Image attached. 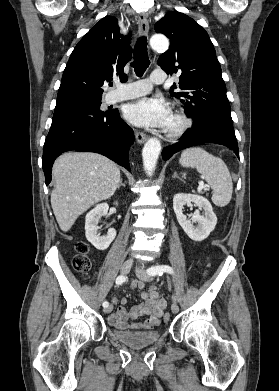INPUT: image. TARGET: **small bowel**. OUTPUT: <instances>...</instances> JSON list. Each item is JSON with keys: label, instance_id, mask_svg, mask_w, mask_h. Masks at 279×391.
<instances>
[{"label": "small bowel", "instance_id": "small-bowel-1", "mask_svg": "<svg viewBox=\"0 0 279 391\" xmlns=\"http://www.w3.org/2000/svg\"><path fill=\"white\" fill-rule=\"evenodd\" d=\"M132 286L142 290L141 297L144 303L126 308V299L122 298L120 301L113 297L114 304L119 303L116 312L108 317L109 323L117 329H152L161 324V319L164 310L167 307V301L160 297L155 287H150L148 290L144 289V283L141 281H134ZM143 318L142 322L130 323L132 319Z\"/></svg>", "mask_w": 279, "mask_h": 391}]
</instances>
